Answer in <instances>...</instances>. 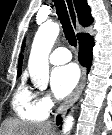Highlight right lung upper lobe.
<instances>
[{"label":"right lung upper lobe","mask_w":112,"mask_h":135,"mask_svg":"<svg viewBox=\"0 0 112 135\" xmlns=\"http://www.w3.org/2000/svg\"><path fill=\"white\" fill-rule=\"evenodd\" d=\"M74 3H75V7H76V11H77L80 23L84 27L90 26L93 22V17L91 16V9L88 6L87 1L86 0H74ZM85 36H87V35L78 34L77 38L81 39ZM23 48H24V43L22 46V50H23ZM22 61H23V55L21 54L20 58H19V63H18V76H20L21 72H22Z\"/></svg>","instance_id":"1"}]
</instances>
